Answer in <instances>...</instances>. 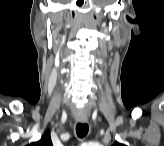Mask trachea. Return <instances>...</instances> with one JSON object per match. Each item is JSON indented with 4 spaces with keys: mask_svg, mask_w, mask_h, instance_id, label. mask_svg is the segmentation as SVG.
I'll use <instances>...</instances> for the list:
<instances>
[{
    "mask_svg": "<svg viewBox=\"0 0 164 146\" xmlns=\"http://www.w3.org/2000/svg\"><path fill=\"white\" fill-rule=\"evenodd\" d=\"M88 130H89V127L86 123H84V124L78 123L76 125V133L79 138L85 137L88 133Z\"/></svg>",
    "mask_w": 164,
    "mask_h": 146,
    "instance_id": "1",
    "label": "trachea"
}]
</instances>
